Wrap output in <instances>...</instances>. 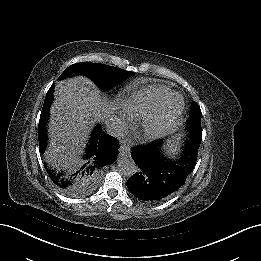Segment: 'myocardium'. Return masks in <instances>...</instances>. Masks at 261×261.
<instances>
[{"instance_id": "1", "label": "myocardium", "mask_w": 261, "mask_h": 261, "mask_svg": "<svg viewBox=\"0 0 261 261\" xmlns=\"http://www.w3.org/2000/svg\"><path fill=\"white\" fill-rule=\"evenodd\" d=\"M174 98H178L180 101V106L177 113L169 120L161 123V116L164 107L171 99ZM183 110V97L178 93H173L158 110L148 114L145 118L138 121L135 127V131L142 140L151 141L159 139L168 134L175 127L180 116L182 115Z\"/></svg>"}]
</instances>
